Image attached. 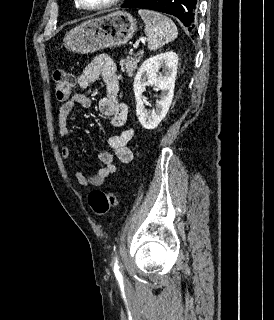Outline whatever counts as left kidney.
I'll list each match as a JSON object with an SVG mask.
<instances>
[{
    "label": "left kidney",
    "mask_w": 274,
    "mask_h": 320,
    "mask_svg": "<svg viewBox=\"0 0 274 320\" xmlns=\"http://www.w3.org/2000/svg\"><path fill=\"white\" fill-rule=\"evenodd\" d=\"M178 56L175 52H165L148 58L140 66L133 84L136 100L137 118L145 130H154L165 118L173 100L175 80L177 76ZM162 68V72H159ZM153 84L160 90V100L155 108L148 112L145 108L147 98L143 96L145 86Z\"/></svg>",
    "instance_id": "1"
}]
</instances>
